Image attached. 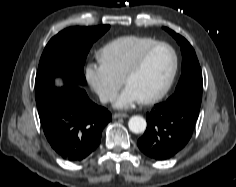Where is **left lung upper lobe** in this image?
I'll return each mask as SVG.
<instances>
[{
    "label": "left lung upper lobe",
    "mask_w": 236,
    "mask_h": 187,
    "mask_svg": "<svg viewBox=\"0 0 236 187\" xmlns=\"http://www.w3.org/2000/svg\"><path fill=\"white\" fill-rule=\"evenodd\" d=\"M177 41L182 51V73L175 93L163 102L168 107L187 105L200 110L203 90V79L201 68L190 43L181 35L164 28Z\"/></svg>",
    "instance_id": "obj_1"
}]
</instances>
